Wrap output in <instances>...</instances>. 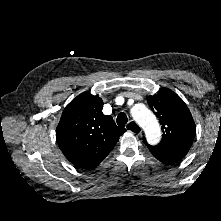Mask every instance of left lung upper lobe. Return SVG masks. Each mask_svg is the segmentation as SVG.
I'll return each mask as SVG.
<instances>
[{"mask_svg":"<svg viewBox=\"0 0 221 221\" xmlns=\"http://www.w3.org/2000/svg\"><path fill=\"white\" fill-rule=\"evenodd\" d=\"M147 102L162 125V139L156 146L148 147L162 150L191 146L196 134V125L183 100L168 88H162L158 94L148 96Z\"/></svg>","mask_w":221,"mask_h":221,"instance_id":"obj_1","label":"left lung upper lobe"}]
</instances>
